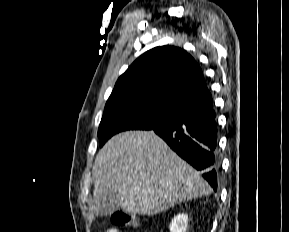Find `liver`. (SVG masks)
Returning <instances> with one entry per match:
<instances>
[{"mask_svg": "<svg viewBox=\"0 0 289 232\" xmlns=\"http://www.w3.org/2000/svg\"><path fill=\"white\" fill-rule=\"evenodd\" d=\"M93 177L94 199L115 193L119 208L128 214L154 215L212 191L153 131L112 137L96 156Z\"/></svg>", "mask_w": 289, "mask_h": 232, "instance_id": "1", "label": "liver"}]
</instances>
